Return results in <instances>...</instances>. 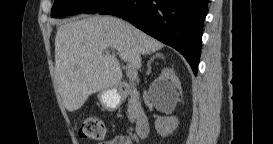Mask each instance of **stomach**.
Here are the masks:
<instances>
[{
    "mask_svg": "<svg viewBox=\"0 0 273 144\" xmlns=\"http://www.w3.org/2000/svg\"><path fill=\"white\" fill-rule=\"evenodd\" d=\"M98 99L105 110L115 111L122 103V93L117 89L100 91Z\"/></svg>",
    "mask_w": 273,
    "mask_h": 144,
    "instance_id": "1",
    "label": "stomach"
}]
</instances>
